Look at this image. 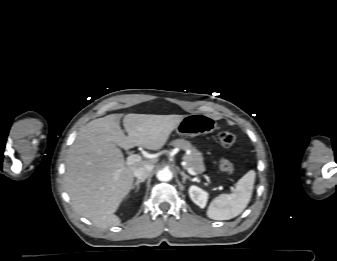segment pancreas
<instances>
[{
    "label": "pancreas",
    "mask_w": 337,
    "mask_h": 261,
    "mask_svg": "<svg viewBox=\"0 0 337 261\" xmlns=\"http://www.w3.org/2000/svg\"><path fill=\"white\" fill-rule=\"evenodd\" d=\"M171 145L185 151H190L189 154L183 156V160L186 162V168H192L196 173H203L205 171L202 153L193 147L189 141L177 139L171 142Z\"/></svg>",
    "instance_id": "obj_1"
}]
</instances>
